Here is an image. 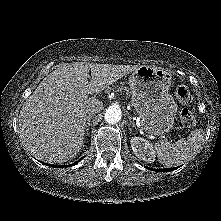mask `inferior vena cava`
Listing matches in <instances>:
<instances>
[{
	"instance_id": "inferior-vena-cava-1",
	"label": "inferior vena cava",
	"mask_w": 221,
	"mask_h": 221,
	"mask_svg": "<svg viewBox=\"0 0 221 221\" xmlns=\"http://www.w3.org/2000/svg\"><path fill=\"white\" fill-rule=\"evenodd\" d=\"M101 108L102 107H99V106H92L89 109H87L86 112L89 116L95 115L100 112Z\"/></svg>"
}]
</instances>
